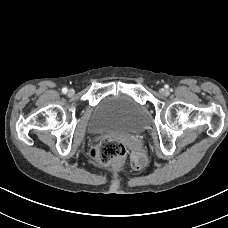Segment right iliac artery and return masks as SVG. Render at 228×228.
<instances>
[{
    "instance_id": "right-iliac-artery-1",
    "label": "right iliac artery",
    "mask_w": 228,
    "mask_h": 228,
    "mask_svg": "<svg viewBox=\"0 0 228 228\" xmlns=\"http://www.w3.org/2000/svg\"><path fill=\"white\" fill-rule=\"evenodd\" d=\"M67 91H68V89H67L66 87H64V88L62 89V92H63L64 94H66Z\"/></svg>"
}]
</instances>
